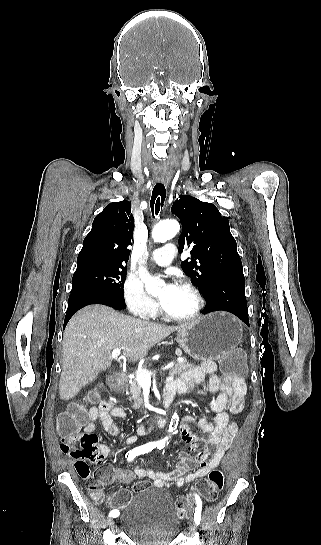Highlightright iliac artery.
Listing matches in <instances>:
<instances>
[{"instance_id": "82829eb1", "label": "right iliac artery", "mask_w": 321, "mask_h": 545, "mask_svg": "<svg viewBox=\"0 0 321 545\" xmlns=\"http://www.w3.org/2000/svg\"><path fill=\"white\" fill-rule=\"evenodd\" d=\"M154 448H155V443L154 442H150V443H147L145 445L136 447V448L130 450L129 452H127V454H126L127 460L132 461L136 456L148 453ZM118 515H119V512L117 510H112L110 512V514H109V516H112V517H117Z\"/></svg>"}]
</instances>
